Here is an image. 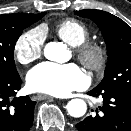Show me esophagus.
<instances>
[{
	"label": "esophagus",
	"mask_w": 131,
	"mask_h": 131,
	"mask_svg": "<svg viewBox=\"0 0 131 131\" xmlns=\"http://www.w3.org/2000/svg\"><path fill=\"white\" fill-rule=\"evenodd\" d=\"M36 99L37 100H48V99H53V97L46 95V94H37Z\"/></svg>",
	"instance_id": "1"
}]
</instances>
